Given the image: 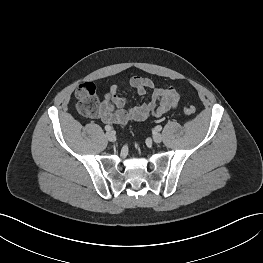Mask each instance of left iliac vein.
Instances as JSON below:
<instances>
[{
  "label": "left iliac vein",
  "instance_id": "left-iliac-vein-1",
  "mask_svg": "<svg viewBox=\"0 0 263 263\" xmlns=\"http://www.w3.org/2000/svg\"><path fill=\"white\" fill-rule=\"evenodd\" d=\"M162 139H163V137H162V135L160 133H155L153 135V141L155 143H160L162 141Z\"/></svg>",
  "mask_w": 263,
  "mask_h": 263
}]
</instances>
